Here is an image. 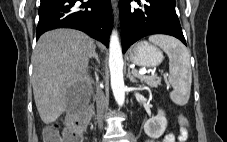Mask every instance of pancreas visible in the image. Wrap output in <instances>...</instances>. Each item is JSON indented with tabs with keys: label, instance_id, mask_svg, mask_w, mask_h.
Returning <instances> with one entry per match:
<instances>
[{
	"label": "pancreas",
	"instance_id": "1",
	"mask_svg": "<svg viewBox=\"0 0 227 142\" xmlns=\"http://www.w3.org/2000/svg\"><path fill=\"white\" fill-rule=\"evenodd\" d=\"M142 82H145L150 87H158L161 84V78L157 76H139Z\"/></svg>",
	"mask_w": 227,
	"mask_h": 142
}]
</instances>
